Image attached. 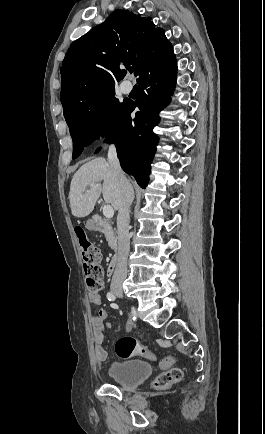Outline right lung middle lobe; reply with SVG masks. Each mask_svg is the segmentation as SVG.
I'll list each match as a JSON object with an SVG mask.
<instances>
[{
	"mask_svg": "<svg viewBox=\"0 0 265 434\" xmlns=\"http://www.w3.org/2000/svg\"><path fill=\"white\" fill-rule=\"evenodd\" d=\"M114 88L115 83H111L75 99L62 101L73 140V159L81 154L85 146L113 132L124 119L131 101L125 99L119 102Z\"/></svg>",
	"mask_w": 265,
	"mask_h": 434,
	"instance_id": "obj_1",
	"label": "right lung middle lobe"
}]
</instances>
